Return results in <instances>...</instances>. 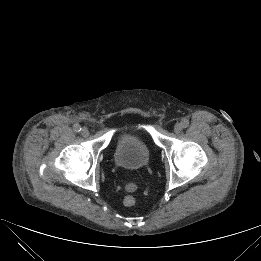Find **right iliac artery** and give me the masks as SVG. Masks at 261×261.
Instances as JSON below:
<instances>
[{"label":"right iliac artery","mask_w":261,"mask_h":261,"mask_svg":"<svg viewBox=\"0 0 261 261\" xmlns=\"http://www.w3.org/2000/svg\"><path fill=\"white\" fill-rule=\"evenodd\" d=\"M74 131L80 132L81 131V126L79 124L74 125Z\"/></svg>","instance_id":"82829eb1"}]
</instances>
